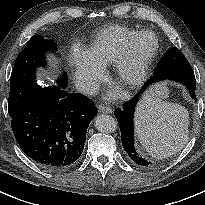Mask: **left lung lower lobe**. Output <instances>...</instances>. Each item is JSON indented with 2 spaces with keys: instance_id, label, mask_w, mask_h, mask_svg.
I'll return each mask as SVG.
<instances>
[{
  "instance_id": "left-lung-lower-lobe-1",
  "label": "left lung lower lobe",
  "mask_w": 205,
  "mask_h": 205,
  "mask_svg": "<svg viewBox=\"0 0 205 205\" xmlns=\"http://www.w3.org/2000/svg\"><path fill=\"white\" fill-rule=\"evenodd\" d=\"M165 79L174 80L186 86L190 92L191 97L194 100H196V96L194 93L196 88V79H195L194 71L192 69L176 70L161 75L152 76L145 83V85L141 88V90L137 93L136 96H134L130 101L126 102L123 105V108L121 109L119 108L115 111V116L117 118L121 130L123 148L128 153L129 157L135 163L141 166H148L151 164V162L142 158L134 148L133 123H134L135 108L141 95L150 84Z\"/></svg>"
}]
</instances>
